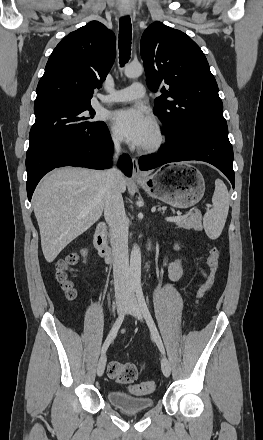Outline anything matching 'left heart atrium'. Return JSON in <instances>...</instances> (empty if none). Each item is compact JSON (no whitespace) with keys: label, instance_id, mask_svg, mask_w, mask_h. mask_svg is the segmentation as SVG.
<instances>
[{"label":"left heart atrium","instance_id":"1","mask_svg":"<svg viewBox=\"0 0 263 440\" xmlns=\"http://www.w3.org/2000/svg\"><path fill=\"white\" fill-rule=\"evenodd\" d=\"M111 122L115 132L132 145H141L152 128V119L138 107L115 111L111 115Z\"/></svg>","mask_w":263,"mask_h":440}]
</instances>
